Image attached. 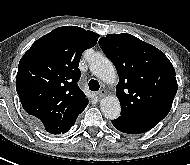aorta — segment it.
Segmentation results:
<instances>
[{
    "mask_svg": "<svg viewBox=\"0 0 190 165\" xmlns=\"http://www.w3.org/2000/svg\"><path fill=\"white\" fill-rule=\"evenodd\" d=\"M90 71L106 83L117 80V73L112 62L101 53L95 54L89 60ZM100 109L107 119H116L120 116L121 106L116 96H107L100 101Z\"/></svg>",
    "mask_w": 190,
    "mask_h": 165,
    "instance_id": "aorta-1",
    "label": "aorta"
}]
</instances>
